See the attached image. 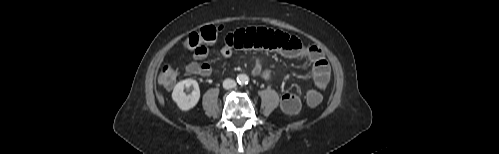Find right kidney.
Segmentation results:
<instances>
[{
    "instance_id": "right-kidney-1",
    "label": "right kidney",
    "mask_w": 499,
    "mask_h": 154,
    "mask_svg": "<svg viewBox=\"0 0 499 154\" xmlns=\"http://www.w3.org/2000/svg\"><path fill=\"white\" fill-rule=\"evenodd\" d=\"M191 90L186 94L184 89ZM172 99L182 111H188L196 106L200 99V89L196 80L185 79L178 82L172 92Z\"/></svg>"
}]
</instances>
